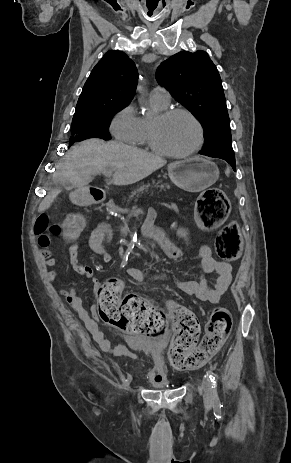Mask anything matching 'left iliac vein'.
<instances>
[{
  "label": "left iliac vein",
  "mask_w": 291,
  "mask_h": 463,
  "mask_svg": "<svg viewBox=\"0 0 291 463\" xmlns=\"http://www.w3.org/2000/svg\"><path fill=\"white\" fill-rule=\"evenodd\" d=\"M202 388L204 391V396H203L204 403L210 406L213 401V391L211 388V382L207 377H205L202 381Z\"/></svg>",
  "instance_id": "4c4485c4"
}]
</instances>
